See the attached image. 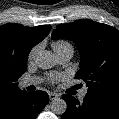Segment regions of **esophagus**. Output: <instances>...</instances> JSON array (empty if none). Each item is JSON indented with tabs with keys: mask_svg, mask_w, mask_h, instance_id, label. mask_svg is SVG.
Segmentation results:
<instances>
[{
	"mask_svg": "<svg viewBox=\"0 0 119 119\" xmlns=\"http://www.w3.org/2000/svg\"><path fill=\"white\" fill-rule=\"evenodd\" d=\"M49 98H50V100H55V99L59 98V94L51 92V93H49Z\"/></svg>",
	"mask_w": 119,
	"mask_h": 119,
	"instance_id": "1",
	"label": "esophagus"
}]
</instances>
